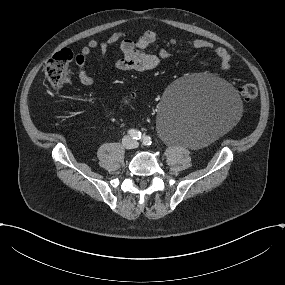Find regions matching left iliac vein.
Wrapping results in <instances>:
<instances>
[{
	"mask_svg": "<svg viewBox=\"0 0 285 285\" xmlns=\"http://www.w3.org/2000/svg\"><path fill=\"white\" fill-rule=\"evenodd\" d=\"M138 146V143L137 142H135V147H137Z\"/></svg>",
	"mask_w": 285,
	"mask_h": 285,
	"instance_id": "1",
	"label": "left iliac vein"
}]
</instances>
